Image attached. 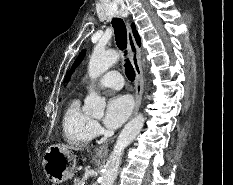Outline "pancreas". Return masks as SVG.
<instances>
[{"instance_id":"obj_1","label":"pancreas","mask_w":233,"mask_h":185,"mask_svg":"<svg viewBox=\"0 0 233 185\" xmlns=\"http://www.w3.org/2000/svg\"><path fill=\"white\" fill-rule=\"evenodd\" d=\"M74 185H82V181L80 178H75L74 179Z\"/></svg>"}]
</instances>
